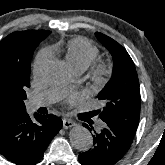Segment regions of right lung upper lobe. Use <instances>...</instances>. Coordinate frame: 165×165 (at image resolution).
<instances>
[{"label": "right lung upper lobe", "mask_w": 165, "mask_h": 165, "mask_svg": "<svg viewBox=\"0 0 165 165\" xmlns=\"http://www.w3.org/2000/svg\"><path fill=\"white\" fill-rule=\"evenodd\" d=\"M50 31L26 30L12 33L0 41V66L22 65L28 57L29 49L44 40ZM26 113L24 102L15 101L0 93V125L18 115Z\"/></svg>", "instance_id": "obj_1"}]
</instances>
